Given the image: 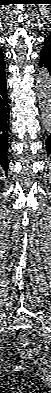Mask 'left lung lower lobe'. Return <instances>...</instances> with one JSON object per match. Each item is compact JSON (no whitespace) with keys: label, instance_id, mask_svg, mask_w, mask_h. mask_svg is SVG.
I'll return each instance as SVG.
<instances>
[{"label":"left lung lower lobe","instance_id":"left-lung-lower-lobe-1","mask_svg":"<svg viewBox=\"0 0 51 393\" xmlns=\"http://www.w3.org/2000/svg\"><path fill=\"white\" fill-rule=\"evenodd\" d=\"M40 66L46 69L51 75V55L45 52L40 53ZM47 155L51 154V135L47 137L46 140Z\"/></svg>","mask_w":51,"mask_h":393}]
</instances>
